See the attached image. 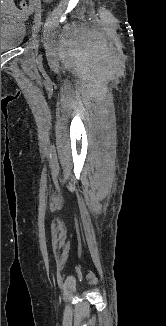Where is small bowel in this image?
Masks as SVG:
<instances>
[{"instance_id":"c3829d8e","label":"small bowel","mask_w":166,"mask_h":326,"mask_svg":"<svg viewBox=\"0 0 166 326\" xmlns=\"http://www.w3.org/2000/svg\"><path fill=\"white\" fill-rule=\"evenodd\" d=\"M1 6H6L8 9H10L12 12L17 13L18 10L14 6L13 0H1Z\"/></svg>"}]
</instances>
